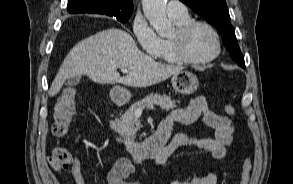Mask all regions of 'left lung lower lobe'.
<instances>
[{
    "instance_id": "left-lung-lower-lobe-1",
    "label": "left lung lower lobe",
    "mask_w": 293,
    "mask_h": 184,
    "mask_svg": "<svg viewBox=\"0 0 293 184\" xmlns=\"http://www.w3.org/2000/svg\"><path fill=\"white\" fill-rule=\"evenodd\" d=\"M241 67H242V68H245V65H242Z\"/></svg>"
}]
</instances>
